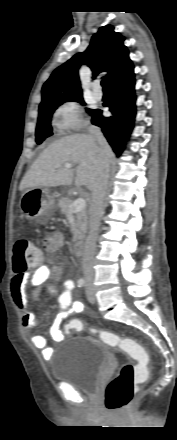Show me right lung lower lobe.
Instances as JSON below:
<instances>
[{
	"label": "right lung lower lobe",
	"instance_id": "1",
	"mask_svg": "<svg viewBox=\"0 0 177 440\" xmlns=\"http://www.w3.org/2000/svg\"><path fill=\"white\" fill-rule=\"evenodd\" d=\"M108 85L111 97L103 106L109 107L112 116L103 117L102 110H92L90 112L91 122L101 127L114 152L120 155L125 148L126 140L130 137L136 115L133 65L115 77Z\"/></svg>",
	"mask_w": 177,
	"mask_h": 440
}]
</instances>
